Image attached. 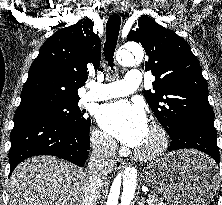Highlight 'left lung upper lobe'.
Returning a JSON list of instances; mask_svg holds the SVG:
<instances>
[{"label": "left lung upper lobe", "mask_w": 222, "mask_h": 205, "mask_svg": "<svg viewBox=\"0 0 222 205\" xmlns=\"http://www.w3.org/2000/svg\"><path fill=\"white\" fill-rule=\"evenodd\" d=\"M138 22L127 40L141 43L148 55L145 70H151L156 80L154 91H145L144 96L169 136L190 119L214 121L208 86L189 44L148 16Z\"/></svg>", "instance_id": "1"}]
</instances>
